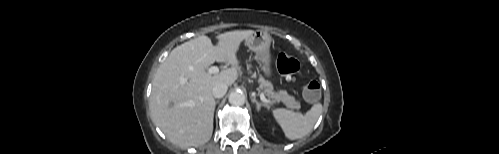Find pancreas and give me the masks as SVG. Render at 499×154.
<instances>
[{
    "instance_id": "obj_1",
    "label": "pancreas",
    "mask_w": 499,
    "mask_h": 154,
    "mask_svg": "<svg viewBox=\"0 0 499 154\" xmlns=\"http://www.w3.org/2000/svg\"><path fill=\"white\" fill-rule=\"evenodd\" d=\"M252 65L248 64L247 68L251 69ZM255 77V75H253ZM260 86L264 89L265 95L270 98L275 100L276 102H283L287 107L295 110H299L301 108V105L299 101L295 99V97L289 95L286 91L280 90V91H274L273 90V85L271 82L265 80L263 77L259 78Z\"/></svg>"
}]
</instances>
